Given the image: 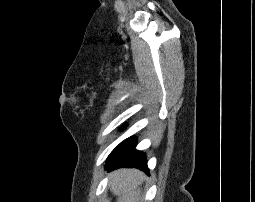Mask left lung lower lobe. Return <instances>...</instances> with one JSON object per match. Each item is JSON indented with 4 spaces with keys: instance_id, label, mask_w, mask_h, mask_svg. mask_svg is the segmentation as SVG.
Listing matches in <instances>:
<instances>
[{
    "instance_id": "1",
    "label": "left lung lower lobe",
    "mask_w": 255,
    "mask_h": 202,
    "mask_svg": "<svg viewBox=\"0 0 255 202\" xmlns=\"http://www.w3.org/2000/svg\"><path fill=\"white\" fill-rule=\"evenodd\" d=\"M136 139L131 137L120 152L110 161H107V170H114L118 168H138L149 174V169L147 167L146 156L135 149Z\"/></svg>"
}]
</instances>
